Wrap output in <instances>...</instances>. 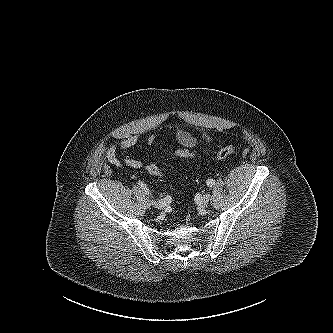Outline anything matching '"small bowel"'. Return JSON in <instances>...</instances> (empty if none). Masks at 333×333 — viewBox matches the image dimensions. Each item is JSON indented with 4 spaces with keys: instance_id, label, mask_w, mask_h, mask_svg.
Returning a JSON list of instances; mask_svg holds the SVG:
<instances>
[{
    "instance_id": "c3829d8e",
    "label": "small bowel",
    "mask_w": 333,
    "mask_h": 333,
    "mask_svg": "<svg viewBox=\"0 0 333 333\" xmlns=\"http://www.w3.org/2000/svg\"><path fill=\"white\" fill-rule=\"evenodd\" d=\"M202 138L206 142H211V137L202 129L197 130ZM176 138L185 147L192 148L196 146L197 140L189 132L184 130H179L176 133ZM155 136L153 134L149 135L147 138V143L152 145ZM138 142V137L136 135H130L122 141L113 142L106 151L107 160L116 168H120L123 164L134 168L140 169L143 167V163L140 160L129 157L126 152L134 147Z\"/></svg>"
}]
</instances>
